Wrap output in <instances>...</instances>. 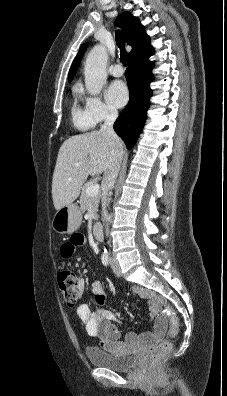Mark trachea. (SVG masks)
<instances>
[{
  "label": "trachea",
  "instance_id": "obj_1",
  "mask_svg": "<svg viewBox=\"0 0 227 396\" xmlns=\"http://www.w3.org/2000/svg\"><path fill=\"white\" fill-rule=\"evenodd\" d=\"M116 42H117L118 47L121 50L120 61L124 66H128L129 56H128V53L125 51V41H124L123 35L120 31L116 32Z\"/></svg>",
  "mask_w": 227,
  "mask_h": 396
}]
</instances>
